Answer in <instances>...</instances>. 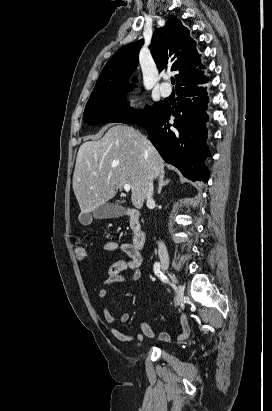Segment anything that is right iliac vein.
<instances>
[{"label":"right iliac vein","instance_id":"63e3f726","mask_svg":"<svg viewBox=\"0 0 272 411\" xmlns=\"http://www.w3.org/2000/svg\"><path fill=\"white\" fill-rule=\"evenodd\" d=\"M162 266L166 270L169 268V264H168L167 261H164L162 263ZM172 278H173L174 282H176L175 278L174 277H172ZM182 302H183V288H182L181 285L177 284L176 305L179 306V305L182 304Z\"/></svg>","mask_w":272,"mask_h":411}]
</instances>
